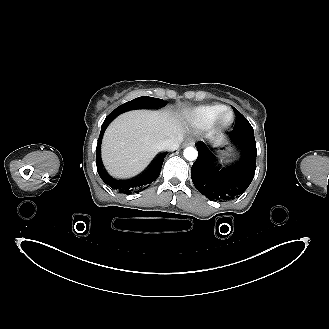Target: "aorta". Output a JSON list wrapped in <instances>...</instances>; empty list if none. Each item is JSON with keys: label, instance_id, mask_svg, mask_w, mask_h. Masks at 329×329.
<instances>
[{"label": "aorta", "instance_id": "aorta-1", "mask_svg": "<svg viewBox=\"0 0 329 329\" xmlns=\"http://www.w3.org/2000/svg\"><path fill=\"white\" fill-rule=\"evenodd\" d=\"M183 155H184L185 159H187L189 161H194L198 157V152L194 147H187L184 149Z\"/></svg>", "mask_w": 329, "mask_h": 329}]
</instances>
